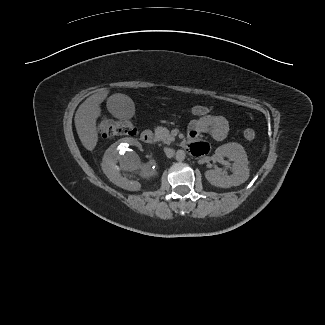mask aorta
I'll list each match as a JSON object with an SVG mask.
<instances>
[{"instance_id": "aorta-1", "label": "aorta", "mask_w": 325, "mask_h": 325, "mask_svg": "<svg viewBox=\"0 0 325 325\" xmlns=\"http://www.w3.org/2000/svg\"><path fill=\"white\" fill-rule=\"evenodd\" d=\"M185 157H186L185 151H183V150H178V151L176 152V160H177V161H183V160L185 159Z\"/></svg>"}]
</instances>
